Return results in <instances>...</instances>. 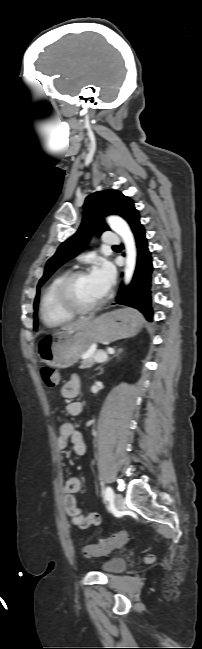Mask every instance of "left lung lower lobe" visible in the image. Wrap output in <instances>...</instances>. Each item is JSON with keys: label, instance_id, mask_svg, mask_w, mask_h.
Masks as SVG:
<instances>
[{"label": "left lung lower lobe", "instance_id": "left-lung-lower-lobe-1", "mask_svg": "<svg viewBox=\"0 0 202 649\" xmlns=\"http://www.w3.org/2000/svg\"><path fill=\"white\" fill-rule=\"evenodd\" d=\"M129 225L135 236L137 264L131 284L126 288L123 284L121 285L116 303L136 308L144 314L148 321H152L150 286L153 265L151 253L139 215L135 216Z\"/></svg>", "mask_w": 202, "mask_h": 649}]
</instances>
